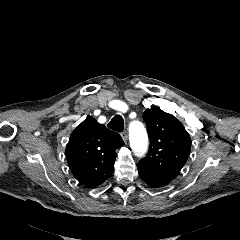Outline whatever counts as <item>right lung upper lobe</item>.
<instances>
[{
	"instance_id": "1",
	"label": "right lung upper lobe",
	"mask_w": 240,
	"mask_h": 240,
	"mask_svg": "<svg viewBox=\"0 0 240 240\" xmlns=\"http://www.w3.org/2000/svg\"><path fill=\"white\" fill-rule=\"evenodd\" d=\"M123 145L119 134L88 117L72 132L65 154L74 177L92 188L111 176L115 151Z\"/></svg>"
}]
</instances>
